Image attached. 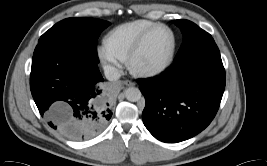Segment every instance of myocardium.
Returning a JSON list of instances; mask_svg holds the SVG:
<instances>
[{"label":"myocardium","instance_id":"myocardium-1","mask_svg":"<svg viewBox=\"0 0 267 166\" xmlns=\"http://www.w3.org/2000/svg\"><path fill=\"white\" fill-rule=\"evenodd\" d=\"M160 28L167 29L171 33V37H172V46H171V50H170V53H169L167 59L162 64H160L156 67L144 68V69L137 67L135 64L136 57L141 52V50H142L143 46L145 45L149 36L153 32H155L157 29H160ZM176 47H177V39H176V34H175L174 30L166 24L158 23L155 26H153L152 28H150L149 30H147L139 38V40L136 42V44L133 46V48L129 52L127 59H126L127 67L131 72H133L134 74L141 76V77H150V76L157 75L169 67V65L173 61Z\"/></svg>","mask_w":267,"mask_h":166}]
</instances>
